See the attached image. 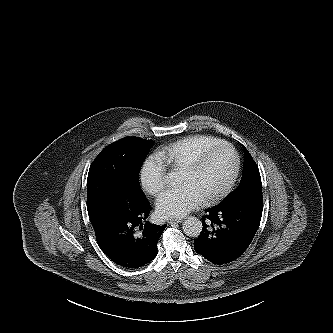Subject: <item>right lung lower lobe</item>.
I'll return each instance as SVG.
<instances>
[{
  "label": "right lung lower lobe",
  "mask_w": 333,
  "mask_h": 333,
  "mask_svg": "<svg viewBox=\"0 0 333 333\" xmlns=\"http://www.w3.org/2000/svg\"><path fill=\"white\" fill-rule=\"evenodd\" d=\"M150 212L149 202L134 203L128 210L104 209L90 218L101 250L117 265L135 269L157 255V242L166 224L142 222Z\"/></svg>",
  "instance_id": "98d812e1"
}]
</instances>
